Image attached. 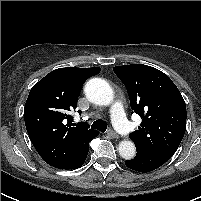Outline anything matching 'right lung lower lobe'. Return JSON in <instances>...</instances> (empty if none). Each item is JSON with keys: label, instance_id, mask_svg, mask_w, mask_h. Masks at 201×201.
Returning a JSON list of instances; mask_svg holds the SVG:
<instances>
[{"label": "right lung lower lobe", "instance_id": "1", "mask_svg": "<svg viewBox=\"0 0 201 201\" xmlns=\"http://www.w3.org/2000/svg\"><path fill=\"white\" fill-rule=\"evenodd\" d=\"M88 150H89V143L86 145L83 154L81 155V157L79 158V160L73 164L72 166L66 168V169H77L79 167H81L83 165V163L85 162V159L87 157L88 154Z\"/></svg>", "mask_w": 201, "mask_h": 201}]
</instances>
